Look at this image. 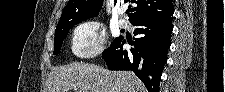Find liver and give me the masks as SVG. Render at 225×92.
Listing matches in <instances>:
<instances>
[{"instance_id": "1", "label": "liver", "mask_w": 225, "mask_h": 92, "mask_svg": "<svg viewBox=\"0 0 225 92\" xmlns=\"http://www.w3.org/2000/svg\"><path fill=\"white\" fill-rule=\"evenodd\" d=\"M146 92L130 71H109L98 65L74 62L55 67L47 80V92Z\"/></svg>"}]
</instances>
